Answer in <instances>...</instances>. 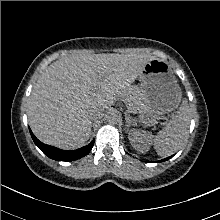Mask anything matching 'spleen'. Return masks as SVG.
Returning a JSON list of instances; mask_svg holds the SVG:
<instances>
[{
    "mask_svg": "<svg viewBox=\"0 0 220 220\" xmlns=\"http://www.w3.org/2000/svg\"><path fill=\"white\" fill-rule=\"evenodd\" d=\"M189 125L190 108L187 99H184L177 114L152 140L158 155L169 156L178 151L188 137Z\"/></svg>",
    "mask_w": 220,
    "mask_h": 220,
    "instance_id": "obj_1",
    "label": "spleen"
}]
</instances>
